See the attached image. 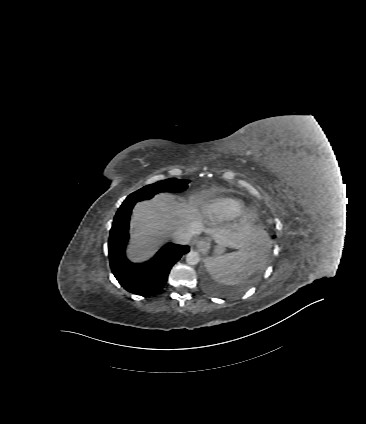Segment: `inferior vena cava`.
<instances>
[{
  "instance_id": "obj_1",
  "label": "inferior vena cava",
  "mask_w": 366,
  "mask_h": 424,
  "mask_svg": "<svg viewBox=\"0 0 366 424\" xmlns=\"http://www.w3.org/2000/svg\"><path fill=\"white\" fill-rule=\"evenodd\" d=\"M195 233L194 228L182 227L173 232L172 238L178 244H187L190 242Z\"/></svg>"
}]
</instances>
